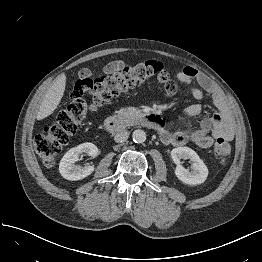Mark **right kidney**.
Here are the masks:
<instances>
[{"mask_svg": "<svg viewBox=\"0 0 262 262\" xmlns=\"http://www.w3.org/2000/svg\"><path fill=\"white\" fill-rule=\"evenodd\" d=\"M80 154H88L95 157L98 154V148L94 144L87 142L66 152L59 163V172L62 177L76 181L87 177L94 171L93 166L81 167L75 164L79 160Z\"/></svg>", "mask_w": 262, "mask_h": 262, "instance_id": "obj_1", "label": "right kidney"}]
</instances>
